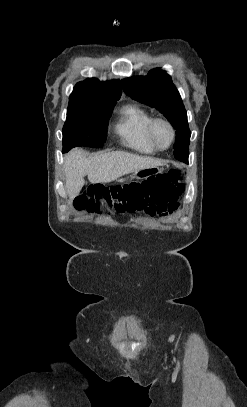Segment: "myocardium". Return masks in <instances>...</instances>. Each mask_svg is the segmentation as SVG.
<instances>
[{"instance_id":"myocardium-1","label":"myocardium","mask_w":247,"mask_h":407,"mask_svg":"<svg viewBox=\"0 0 247 407\" xmlns=\"http://www.w3.org/2000/svg\"><path fill=\"white\" fill-rule=\"evenodd\" d=\"M159 124H164L170 130L171 141H170V143H169V145L167 147H162L161 145H159V143H158V141L156 139L155 131H156V127ZM175 137H176L175 128H174L173 124L168 119L161 118V117H156V118L152 119V121L150 122V125H149V138H150L152 144L154 145V147L157 150L163 151V150L169 149L172 146V144L174 143Z\"/></svg>"}]
</instances>
